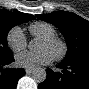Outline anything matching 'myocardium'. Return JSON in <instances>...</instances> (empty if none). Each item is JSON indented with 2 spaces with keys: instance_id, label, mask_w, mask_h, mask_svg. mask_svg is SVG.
<instances>
[{
  "instance_id": "1",
  "label": "myocardium",
  "mask_w": 89,
  "mask_h": 89,
  "mask_svg": "<svg viewBox=\"0 0 89 89\" xmlns=\"http://www.w3.org/2000/svg\"><path fill=\"white\" fill-rule=\"evenodd\" d=\"M41 40L50 44H57L59 46V51L54 56L55 60H62L66 56L68 52V45L64 39L54 35V36L42 37Z\"/></svg>"
}]
</instances>
